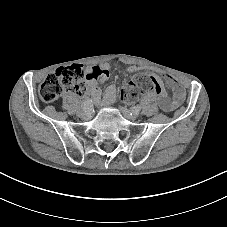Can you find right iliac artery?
I'll return each mask as SVG.
<instances>
[{
	"mask_svg": "<svg viewBox=\"0 0 227 227\" xmlns=\"http://www.w3.org/2000/svg\"><path fill=\"white\" fill-rule=\"evenodd\" d=\"M93 107L92 101L90 99H87L83 103V109L85 114L91 113V108Z\"/></svg>",
	"mask_w": 227,
	"mask_h": 227,
	"instance_id": "1",
	"label": "right iliac artery"
}]
</instances>
